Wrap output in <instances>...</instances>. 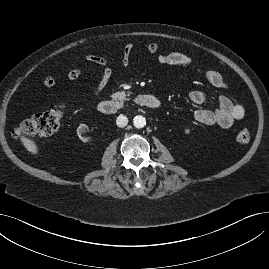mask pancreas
Masks as SVG:
<instances>
[{
  "instance_id": "obj_1",
  "label": "pancreas",
  "mask_w": 269,
  "mask_h": 269,
  "mask_svg": "<svg viewBox=\"0 0 269 269\" xmlns=\"http://www.w3.org/2000/svg\"><path fill=\"white\" fill-rule=\"evenodd\" d=\"M126 95H131L130 92H124V91H119V92H116L114 94L111 95L112 99H118V100H122L125 98Z\"/></svg>"
}]
</instances>
